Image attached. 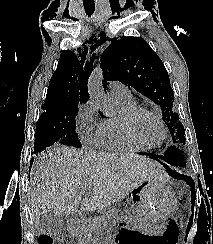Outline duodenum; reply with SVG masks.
Masks as SVG:
<instances>
[{
    "mask_svg": "<svg viewBox=\"0 0 213 244\" xmlns=\"http://www.w3.org/2000/svg\"><path fill=\"white\" fill-rule=\"evenodd\" d=\"M72 220L76 222L77 221V218L73 215L72 216Z\"/></svg>",
    "mask_w": 213,
    "mask_h": 244,
    "instance_id": "1",
    "label": "duodenum"
}]
</instances>
